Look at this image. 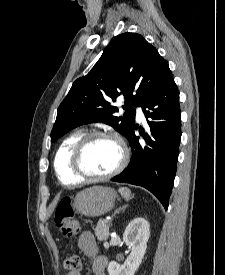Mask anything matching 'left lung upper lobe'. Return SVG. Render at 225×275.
Returning <instances> with one entry per match:
<instances>
[{"mask_svg": "<svg viewBox=\"0 0 225 275\" xmlns=\"http://www.w3.org/2000/svg\"><path fill=\"white\" fill-rule=\"evenodd\" d=\"M169 70L168 62L143 36L124 33L105 48L91 71L77 79L57 110L51 142L86 123L104 122L124 136L134 126L135 109ZM125 98L123 117L111 105Z\"/></svg>", "mask_w": 225, "mask_h": 275, "instance_id": "1", "label": "left lung upper lobe"}]
</instances>
